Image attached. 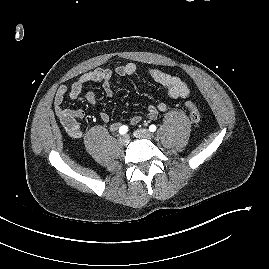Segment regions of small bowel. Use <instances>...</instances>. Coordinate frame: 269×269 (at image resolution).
<instances>
[{
  "label": "small bowel",
  "mask_w": 269,
  "mask_h": 269,
  "mask_svg": "<svg viewBox=\"0 0 269 269\" xmlns=\"http://www.w3.org/2000/svg\"><path fill=\"white\" fill-rule=\"evenodd\" d=\"M138 73V67L134 63H127L116 67L114 70L96 68L90 72L82 74L78 77L70 87L62 85L58 88L54 97V110L57 117L62 122L67 133L73 138H80L83 134L81 127L77 120L84 118L85 112L82 109H68L64 107V100L66 95L71 99H76L83 87L90 82L101 83L105 94L108 97L113 96V89L111 80L113 75L117 76H135ZM148 75L153 81L161 85L167 92L168 96L172 99H186L190 94L187 84L177 76L167 74L159 69L150 68L147 71ZM86 100L90 105L96 103V95L93 91L86 93ZM168 105L165 102H159L155 105H150L147 110V115L150 119H155L159 113L165 112ZM100 119L107 123L110 116L107 112L100 113ZM141 117L135 115L131 117L130 124L135 125L139 123ZM121 127L119 122H114L110 125L111 131H117Z\"/></svg>",
  "instance_id": "small-bowel-1"
}]
</instances>
